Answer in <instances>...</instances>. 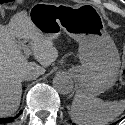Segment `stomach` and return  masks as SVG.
Segmentation results:
<instances>
[{
  "mask_svg": "<svg viewBox=\"0 0 125 125\" xmlns=\"http://www.w3.org/2000/svg\"><path fill=\"white\" fill-rule=\"evenodd\" d=\"M87 9L82 5L38 3L30 10L29 19L46 39L54 40L64 31L79 43L81 66L72 67L70 72L77 91L95 97L116 83L121 61L101 18Z\"/></svg>",
  "mask_w": 125,
  "mask_h": 125,
  "instance_id": "0dacf381",
  "label": "stomach"
}]
</instances>
